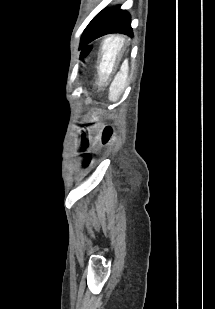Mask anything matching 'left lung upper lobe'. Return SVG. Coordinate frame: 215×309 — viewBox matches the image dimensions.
<instances>
[{
	"instance_id": "1",
	"label": "left lung upper lobe",
	"mask_w": 215,
	"mask_h": 309,
	"mask_svg": "<svg viewBox=\"0 0 215 309\" xmlns=\"http://www.w3.org/2000/svg\"><path fill=\"white\" fill-rule=\"evenodd\" d=\"M109 33L133 36L130 15L119 6L102 10L85 29L81 43H90Z\"/></svg>"
}]
</instances>
